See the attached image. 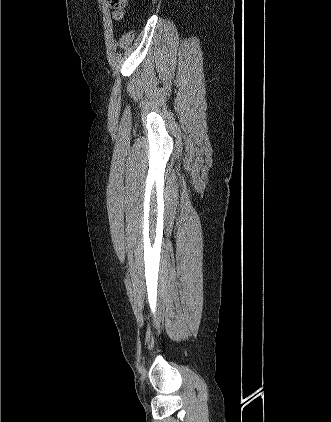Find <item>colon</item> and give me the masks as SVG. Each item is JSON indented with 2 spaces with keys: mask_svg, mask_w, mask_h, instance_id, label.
I'll return each instance as SVG.
<instances>
[{
  "mask_svg": "<svg viewBox=\"0 0 331 422\" xmlns=\"http://www.w3.org/2000/svg\"><path fill=\"white\" fill-rule=\"evenodd\" d=\"M128 0H109L110 7L114 10V17L120 19Z\"/></svg>",
  "mask_w": 331,
  "mask_h": 422,
  "instance_id": "1",
  "label": "colon"
}]
</instances>
